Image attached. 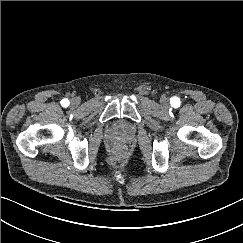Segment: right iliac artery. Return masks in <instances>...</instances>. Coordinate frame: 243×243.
Here are the masks:
<instances>
[{
	"mask_svg": "<svg viewBox=\"0 0 243 243\" xmlns=\"http://www.w3.org/2000/svg\"><path fill=\"white\" fill-rule=\"evenodd\" d=\"M61 105H62L63 107H67V106L69 105V101H68V99H63V100L61 101Z\"/></svg>",
	"mask_w": 243,
	"mask_h": 243,
	"instance_id": "1",
	"label": "right iliac artery"
}]
</instances>
